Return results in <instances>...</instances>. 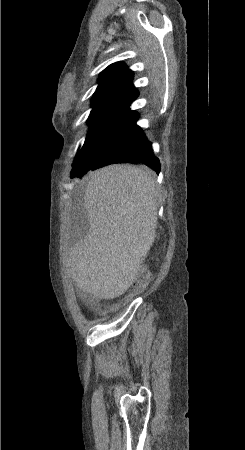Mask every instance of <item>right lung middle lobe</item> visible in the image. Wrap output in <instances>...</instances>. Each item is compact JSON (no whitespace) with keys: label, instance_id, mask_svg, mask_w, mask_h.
Returning a JSON list of instances; mask_svg holds the SVG:
<instances>
[{"label":"right lung middle lobe","instance_id":"right-lung-middle-lobe-1","mask_svg":"<svg viewBox=\"0 0 245 450\" xmlns=\"http://www.w3.org/2000/svg\"><path fill=\"white\" fill-rule=\"evenodd\" d=\"M136 112L121 109H93L87 120L90 131L77 152L71 176L90 169L105 153L114 152L127 143L135 133Z\"/></svg>","mask_w":245,"mask_h":450}]
</instances>
